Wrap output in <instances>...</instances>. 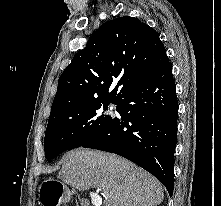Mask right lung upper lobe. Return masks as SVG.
<instances>
[{
  "label": "right lung upper lobe",
  "instance_id": "obj_1",
  "mask_svg": "<svg viewBox=\"0 0 221 206\" xmlns=\"http://www.w3.org/2000/svg\"><path fill=\"white\" fill-rule=\"evenodd\" d=\"M169 63L158 33L146 23L130 16L108 21L61 74L50 115L92 103L118 104Z\"/></svg>",
  "mask_w": 221,
  "mask_h": 206
}]
</instances>
